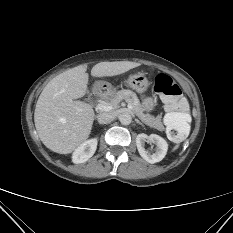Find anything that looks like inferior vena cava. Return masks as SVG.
Listing matches in <instances>:
<instances>
[{
    "label": "inferior vena cava",
    "instance_id": "obj_1",
    "mask_svg": "<svg viewBox=\"0 0 233 233\" xmlns=\"http://www.w3.org/2000/svg\"><path fill=\"white\" fill-rule=\"evenodd\" d=\"M97 119L100 124H107L115 119V113L114 112H102L97 116Z\"/></svg>",
    "mask_w": 233,
    "mask_h": 233
}]
</instances>
